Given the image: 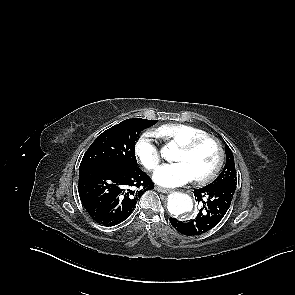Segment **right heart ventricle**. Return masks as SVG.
<instances>
[{"mask_svg": "<svg viewBox=\"0 0 295 295\" xmlns=\"http://www.w3.org/2000/svg\"><path fill=\"white\" fill-rule=\"evenodd\" d=\"M154 134L167 143L175 144L179 147L197 137L208 135V133L201 128L179 123L163 125L157 128Z\"/></svg>", "mask_w": 295, "mask_h": 295, "instance_id": "right-heart-ventricle-1", "label": "right heart ventricle"}]
</instances>
